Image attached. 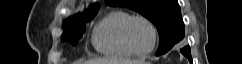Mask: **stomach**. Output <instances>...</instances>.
I'll return each instance as SVG.
<instances>
[{"instance_id": "0dacf381", "label": "stomach", "mask_w": 242, "mask_h": 64, "mask_svg": "<svg viewBox=\"0 0 242 64\" xmlns=\"http://www.w3.org/2000/svg\"><path fill=\"white\" fill-rule=\"evenodd\" d=\"M138 64H149V63H147V62H145V61H142V62H140V63H138Z\"/></svg>"}]
</instances>
